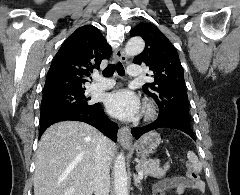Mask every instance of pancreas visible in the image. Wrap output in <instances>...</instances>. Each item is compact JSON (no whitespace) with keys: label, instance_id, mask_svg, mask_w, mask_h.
Wrapping results in <instances>:
<instances>
[{"label":"pancreas","instance_id":"obj_1","mask_svg":"<svg viewBox=\"0 0 240 195\" xmlns=\"http://www.w3.org/2000/svg\"><path fill=\"white\" fill-rule=\"evenodd\" d=\"M136 169L144 171L145 175H153V177H164L167 171V167L165 169L159 167V159H140Z\"/></svg>","mask_w":240,"mask_h":195}]
</instances>
